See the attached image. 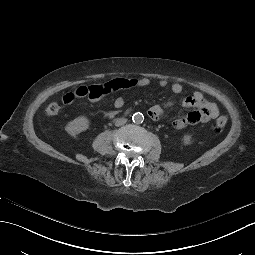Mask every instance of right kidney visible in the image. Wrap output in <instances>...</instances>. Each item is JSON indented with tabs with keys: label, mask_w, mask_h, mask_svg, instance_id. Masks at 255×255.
Returning <instances> with one entry per match:
<instances>
[{
	"label": "right kidney",
	"mask_w": 255,
	"mask_h": 255,
	"mask_svg": "<svg viewBox=\"0 0 255 255\" xmlns=\"http://www.w3.org/2000/svg\"><path fill=\"white\" fill-rule=\"evenodd\" d=\"M89 126H90L89 119L82 116L69 122L65 127V131L71 137H76L83 131H86L89 128Z\"/></svg>",
	"instance_id": "obj_1"
}]
</instances>
